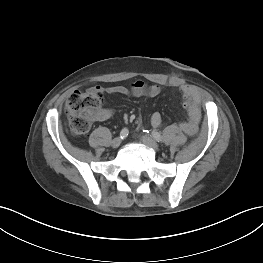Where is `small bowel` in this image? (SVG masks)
Returning a JSON list of instances; mask_svg holds the SVG:
<instances>
[{
    "label": "small bowel",
    "mask_w": 263,
    "mask_h": 263,
    "mask_svg": "<svg viewBox=\"0 0 263 263\" xmlns=\"http://www.w3.org/2000/svg\"><path fill=\"white\" fill-rule=\"evenodd\" d=\"M91 90L98 91L100 93L106 92L108 94H119V95H132L135 97H156L161 92V87L159 85H148L141 80L133 82L130 87H125L122 85L111 86L107 88H102L100 86L91 88ZM181 90L185 96L190 101L191 108L189 110V121L182 124V130L186 136H198L203 135V129H205L204 115H200V96L198 92L189 85H183ZM111 115L108 110H103L98 116L99 119H107ZM200 120V129H195L198 121ZM150 122L152 126L159 127L162 123V117L160 113L155 112L151 115ZM194 130V131H193Z\"/></svg>",
    "instance_id": "obj_1"
}]
</instances>
